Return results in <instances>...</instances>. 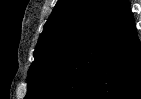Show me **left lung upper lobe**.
<instances>
[{"instance_id": "left-lung-upper-lobe-1", "label": "left lung upper lobe", "mask_w": 141, "mask_h": 99, "mask_svg": "<svg viewBox=\"0 0 141 99\" xmlns=\"http://www.w3.org/2000/svg\"><path fill=\"white\" fill-rule=\"evenodd\" d=\"M122 0H58L44 25L28 74L25 99H37Z\"/></svg>"}]
</instances>
